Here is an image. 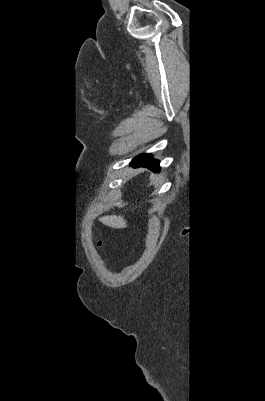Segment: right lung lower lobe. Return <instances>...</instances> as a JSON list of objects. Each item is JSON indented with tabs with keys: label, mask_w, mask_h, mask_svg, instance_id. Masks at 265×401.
I'll use <instances>...</instances> for the list:
<instances>
[{
	"label": "right lung lower lobe",
	"mask_w": 265,
	"mask_h": 401,
	"mask_svg": "<svg viewBox=\"0 0 265 401\" xmlns=\"http://www.w3.org/2000/svg\"><path fill=\"white\" fill-rule=\"evenodd\" d=\"M131 164L133 166H144L148 167L154 172H158L160 170L159 161L149 157L147 154H142L137 156Z\"/></svg>",
	"instance_id": "98d812e1"
}]
</instances>
